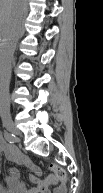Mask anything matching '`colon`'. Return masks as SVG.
I'll use <instances>...</instances> for the list:
<instances>
[{
    "label": "colon",
    "mask_w": 103,
    "mask_h": 193,
    "mask_svg": "<svg viewBox=\"0 0 103 193\" xmlns=\"http://www.w3.org/2000/svg\"><path fill=\"white\" fill-rule=\"evenodd\" d=\"M50 169L53 171V173L56 175V177L59 180H61L62 182H65L66 172L62 168L55 166V165H52V166H50Z\"/></svg>",
    "instance_id": "obj_1"
}]
</instances>
